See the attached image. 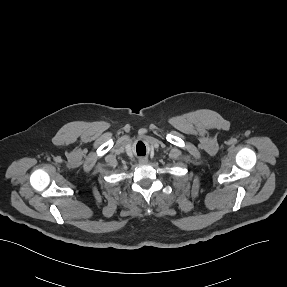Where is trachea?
<instances>
[{"instance_id": "3493384b", "label": "trachea", "mask_w": 287, "mask_h": 287, "mask_svg": "<svg viewBox=\"0 0 287 287\" xmlns=\"http://www.w3.org/2000/svg\"><path fill=\"white\" fill-rule=\"evenodd\" d=\"M137 153L139 154V152L137 151ZM139 155H145V152L140 153Z\"/></svg>"}]
</instances>
